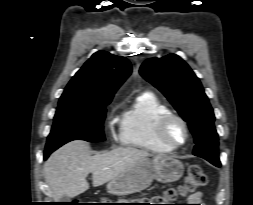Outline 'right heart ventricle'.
Instances as JSON below:
<instances>
[{
	"instance_id": "1",
	"label": "right heart ventricle",
	"mask_w": 253,
	"mask_h": 205,
	"mask_svg": "<svg viewBox=\"0 0 253 205\" xmlns=\"http://www.w3.org/2000/svg\"><path fill=\"white\" fill-rule=\"evenodd\" d=\"M171 113L169 106L154 93L139 94L134 103L120 115L119 142L153 153L172 151L161 144L156 136L159 121Z\"/></svg>"
}]
</instances>
